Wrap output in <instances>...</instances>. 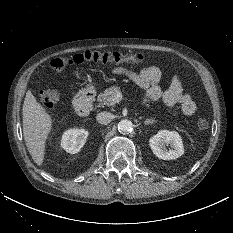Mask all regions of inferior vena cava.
Here are the masks:
<instances>
[{"instance_id": "obj_1", "label": "inferior vena cava", "mask_w": 233, "mask_h": 233, "mask_svg": "<svg viewBox=\"0 0 233 233\" xmlns=\"http://www.w3.org/2000/svg\"><path fill=\"white\" fill-rule=\"evenodd\" d=\"M96 119L100 124L107 125L112 121L113 115L110 112L104 111L98 113Z\"/></svg>"}]
</instances>
